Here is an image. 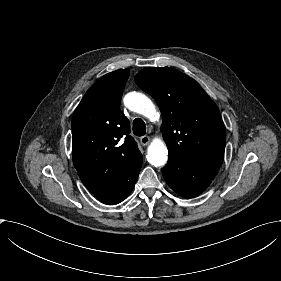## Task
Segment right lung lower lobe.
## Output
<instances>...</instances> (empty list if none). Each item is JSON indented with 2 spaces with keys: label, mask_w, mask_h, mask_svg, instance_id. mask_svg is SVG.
I'll list each match as a JSON object with an SVG mask.
<instances>
[{
  "label": "right lung lower lobe",
  "mask_w": 281,
  "mask_h": 281,
  "mask_svg": "<svg viewBox=\"0 0 281 281\" xmlns=\"http://www.w3.org/2000/svg\"><path fill=\"white\" fill-rule=\"evenodd\" d=\"M142 166V155L138 156L127 170L114 183L95 197L104 204L114 205L122 202L132 191Z\"/></svg>",
  "instance_id": "98d812e1"
}]
</instances>
